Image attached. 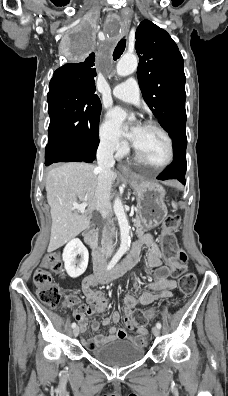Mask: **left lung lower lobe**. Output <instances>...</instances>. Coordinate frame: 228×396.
<instances>
[{"instance_id": "1", "label": "left lung lower lobe", "mask_w": 228, "mask_h": 396, "mask_svg": "<svg viewBox=\"0 0 228 396\" xmlns=\"http://www.w3.org/2000/svg\"><path fill=\"white\" fill-rule=\"evenodd\" d=\"M186 120L176 123L169 136L173 140L174 159L170 166H168L158 177L159 180L177 179L182 184H185L186 173Z\"/></svg>"}]
</instances>
